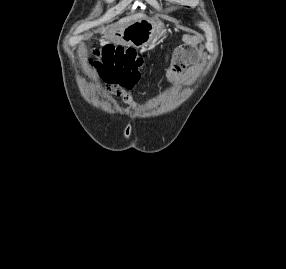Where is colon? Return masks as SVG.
Returning a JSON list of instances; mask_svg holds the SVG:
<instances>
[{"mask_svg": "<svg viewBox=\"0 0 286 269\" xmlns=\"http://www.w3.org/2000/svg\"><path fill=\"white\" fill-rule=\"evenodd\" d=\"M92 52L98 58L92 64L107 83L132 87L139 81L143 60L134 49L107 43Z\"/></svg>", "mask_w": 286, "mask_h": 269, "instance_id": "5ec220e1", "label": "colon"}]
</instances>
